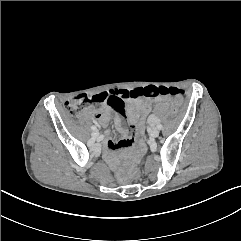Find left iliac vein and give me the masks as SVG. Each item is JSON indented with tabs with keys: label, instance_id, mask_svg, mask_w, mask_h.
<instances>
[{
	"label": "left iliac vein",
	"instance_id": "4c4485c4",
	"mask_svg": "<svg viewBox=\"0 0 241 241\" xmlns=\"http://www.w3.org/2000/svg\"><path fill=\"white\" fill-rule=\"evenodd\" d=\"M150 135H151L153 138L158 137V135H159V130H158V128H153V129L151 130V132H150Z\"/></svg>",
	"mask_w": 241,
	"mask_h": 241
}]
</instances>
